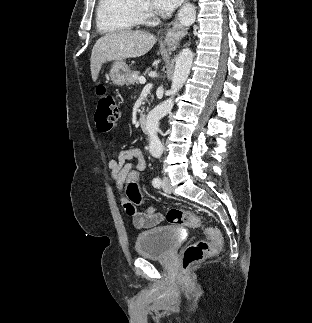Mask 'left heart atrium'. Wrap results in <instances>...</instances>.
I'll list each match as a JSON object with an SVG mask.
<instances>
[{"label": "left heart atrium", "mask_w": 312, "mask_h": 323, "mask_svg": "<svg viewBox=\"0 0 312 323\" xmlns=\"http://www.w3.org/2000/svg\"><path fill=\"white\" fill-rule=\"evenodd\" d=\"M183 0H150L149 8H160V12H175Z\"/></svg>", "instance_id": "left-heart-atrium-1"}]
</instances>
